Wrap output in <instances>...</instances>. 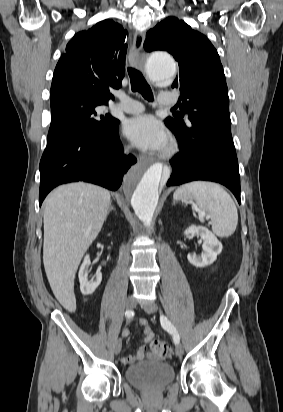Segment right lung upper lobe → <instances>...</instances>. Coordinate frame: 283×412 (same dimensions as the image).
<instances>
[{"label":"right lung upper lobe","instance_id":"obj_1","mask_svg":"<svg viewBox=\"0 0 283 412\" xmlns=\"http://www.w3.org/2000/svg\"><path fill=\"white\" fill-rule=\"evenodd\" d=\"M127 31L112 20L77 33L66 46L54 71L51 115L64 113L76 103L107 105L111 89L124 77Z\"/></svg>","mask_w":283,"mask_h":412}]
</instances>
